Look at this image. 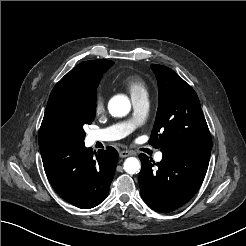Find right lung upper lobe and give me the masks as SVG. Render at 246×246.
<instances>
[{
	"label": "right lung upper lobe",
	"mask_w": 246,
	"mask_h": 246,
	"mask_svg": "<svg viewBox=\"0 0 246 246\" xmlns=\"http://www.w3.org/2000/svg\"><path fill=\"white\" fill-rule=\"evenodd\" d=\"M109 60L85 61L67 73L54 87L47 103L44 118L40 127L38 142L39 145L54 138V126L61 102L80 91L89 81V76L99 67L109 64Z\"/></svg>",
	"instance_id": "cb5924a9"
}]
</instances>
